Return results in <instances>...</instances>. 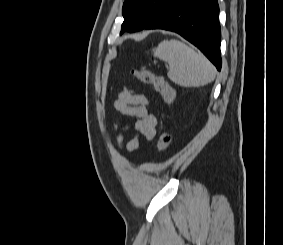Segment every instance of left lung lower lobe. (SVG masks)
<instances>
[{"label": "left lung lower lobe", "instance_id": "1", "mask_svg": "<svg viewBox=\"0 0 283 245\" xmlns=\"http://www.w3.org/2000/svg\"><path fill=\"white\" fill-rule=\"evenodd\" d=\"M145 29H164L180 34L221 70L217 0H173Z\"/></svg>", "mask_w": 283, "mask_h": 245}]
</instances>
